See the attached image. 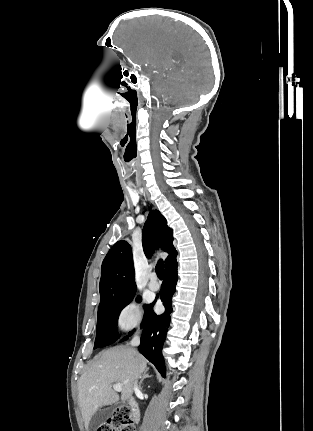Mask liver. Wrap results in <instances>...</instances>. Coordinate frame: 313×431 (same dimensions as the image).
Here are the masks:
<instances>
[{
  "instance_id": "liver-1",
  "label": "liver",
  "mask_w": 313,
  "mask_h": 431,
  "mask_svg": "<svg viewBox=\"0 0 313 431\" xmlns=\"http://www.w3.org/2000/svg\"><path fill=\"white\" fill-rule=\"evenodd\" d=\"M146 368L147 360L130 347L116 346L100 352L78 381V402L85 427L88 429L99 408L119 401L113 383L122 385L121 399L125 402Z\"/></svg>"
}]
</instances>
